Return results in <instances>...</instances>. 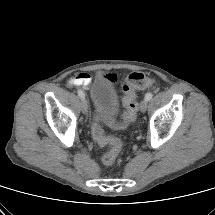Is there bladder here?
I'll return each mask as SVG.
<instances>
[{
	"label": "bladder",
	"instance_id": "bladder-1",
	"mask_svg": "<svg viewBox=\"0 0 215 215\" xmlns=\"http://www.w3.org/2000/svg\"><path fill=\"white\" fill-rule=\"evenodd\" d=\"M91 98L95 116L111 122L119 112V96L111 80L105 75H98L91 88Z\"/></svg>",
	"mask_w": 215,
	"mask_h": 215
}]
</instances>
